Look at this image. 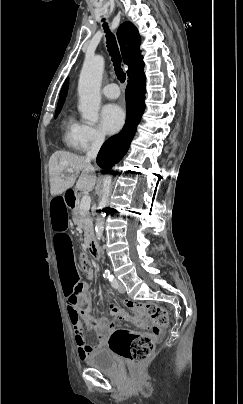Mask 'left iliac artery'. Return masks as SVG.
Instances as JSON below:
<instances>
[{
    "mask_svg": "<svg viewBox=\"0 0 243 404\" xmlns=\"http://www.w3.org/2000/svg\"><path fill=\"white\" fill-rule=\"evenodd\" d=\"M109 281L111 282V285H112L114 288H117V281H116V279L114 278L113 275H111V277L109 278Z\"/></svg>",
    "mask_w": 243,
    "mask_h": 404,
    "instance_id": "left-iliac-artery-1",
    "label": "left iliac artery"
}]
</instances>
